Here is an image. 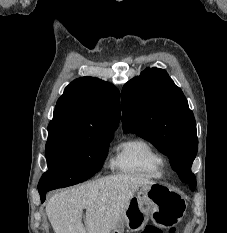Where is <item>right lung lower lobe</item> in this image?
<instances>
[{"label": "right lung lower lobe", "instance_id": "right-lung-lower-lobe-1", "mask_svg": "<svg viewBox=\"0 0 227 233\" xmlns=\"http://www.w3.org/2000/svg\"><path fill=\"white\" fill-rule=\"evenodd\" d=\"M47 192L48 191H39L40 196H41V202H44Z\"/></svg>", "mask_w": 227, "mask_h": 233}]
</instances>
